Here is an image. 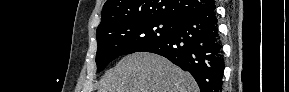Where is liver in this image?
I'll list each match as a JSON object with an SVG mask.
<instances>
[{"label": "liver", "mask_w": 289, "mask_h": 92, "mask_svg": "<svg viewBox=\"0 0 289 92\" xmlns=\"http://www.w3.org/2000/svg\"><path fill=\"white\" fill-rule=\"evenodd\" d=\"M99 92H199L194 78L169 60L138 52L107 71Z\"/></svg>", "instance_id": "6515ba94"}]
</instances>
